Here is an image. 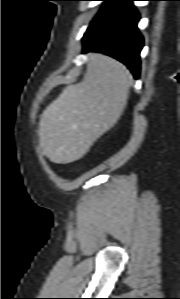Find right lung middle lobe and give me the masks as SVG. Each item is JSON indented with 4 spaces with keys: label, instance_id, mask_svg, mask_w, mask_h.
I'll return each instance as SVG.
<instances>
[{
    "label": "right lung middle lobe",
    "instance_id": "obj_1",
    "mask_svg": "<svg viewBox=\"0 0 180 299\" xmlns=\"http://www.w3.org/2000/svg\"><path fill=\"white\" fill-rule=\"evenodd\" d=\"M103 1H105L107 3L109 0H103Z\"/></svg>",
    "mask_w": 180,
    "mask_h": 299
}]
</instances>
